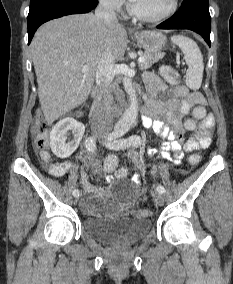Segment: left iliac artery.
<instances>
[{"mask_svg": "<svg viewBox=\"0 0 233 284\" xmlns=\"http://www.w3.org/2000/svg\"><path fill=\"white\" fill-rule=\"evenodd\" d=\"M125 134V130L123 129H116L114 130L108 137V147L110 149L114 150H119V149H124L130 146H138L141 144V139L140 137L133 135L130 136L129 138H121ZM157 191L161 194L165 192V189L162 185L157 186Z\"/></svg>", "mask_w": 233, "mask_h": 284, "instance_id": "obj_1", "label": "left iliac artery"}]
</instances>
